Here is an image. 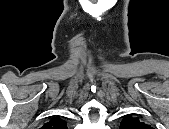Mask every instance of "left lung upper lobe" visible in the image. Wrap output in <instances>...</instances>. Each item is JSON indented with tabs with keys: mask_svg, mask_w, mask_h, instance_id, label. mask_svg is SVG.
Listing matches in <instances>:
<instances>
[{
	"mask_svg": "<svg viewBox=\"0 0 169 129\" xmlns=\"http://www.w3.org/2000/svg\"><path fill=\"white\" fill-rule=\"evenodd\" d=\"M119 129H151V126L139 121L138 118L126 116L122 120Z\"/></svg>",
	"mask_w": 169,
	"mask_h": 129,
	"instance_id": "5c2ea615",
	"label": "left lung upper lobe"
}]
</instances>
